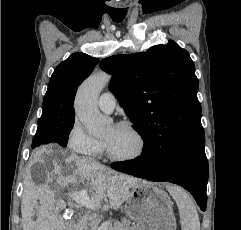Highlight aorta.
<instances>
[{
    "mask_svg": "<svg viewBox=\"0 0 241 230\" xmlns=\"http://www.w3.org/2000/svg\"><path fill=\"white\" fill-rule=\"evenodd\" d=\"M110 79L109 74L98 72L89 76L77 91L74 102L75 113L89 135L96 137L104 135L112 122L109 117L100 113L97 105L98 97Z\"/></svg>",
    "mask_w": 241,
    "mask_h": 230,
    "instance_id": "obj_1",
    "label": "aorta"
}]
</instances>
